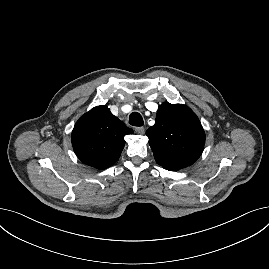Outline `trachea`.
Returning a JSON list of instances; mask_svg holds the SVG:
<instances>
[{"instance_id": "1", "label": "trachea", "mask_w": 269, "mask_h": 269, "mask_svg": "<svg viewBox=\"0 0 269 269\" xmlns=\"http://www.w3.org/2000/svg\"><path fill=\"white\" fill-rule=\"evenodd\" d=\"M129 124L132 126L140 127L143 126L144 121L142 116L138 112H133L129 116Z\"/></svg>"}]
</instances>
